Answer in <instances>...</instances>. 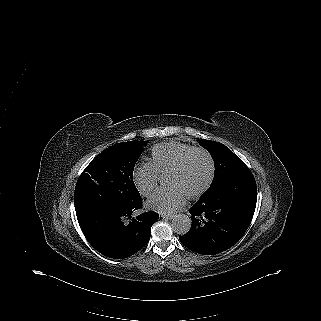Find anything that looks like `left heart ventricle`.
<instances>
[{
  "instance_id": "b2bd125f",
  "label": "left heart ventricle",
  "mask_w": 321,
  "mask_h": 321,
  "mask_svg": "<svg viewBox=\"0 0 321 321\" xmlns=\"http://www.w3.org/2000/svg\"><path fill=\"white\" fill-rule=\"evenodd\" d=\"M193 163L194 166L186 177V183L192 186L202 182L209 170L208 160L204 157L194 158Z\"/></svg>"
}]
</instances>
